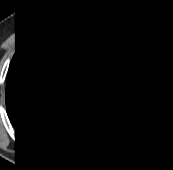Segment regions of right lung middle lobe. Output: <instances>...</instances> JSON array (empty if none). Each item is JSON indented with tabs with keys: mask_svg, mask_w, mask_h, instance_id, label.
Returning a JSON list of instances; mask_svg holds the SVG:
<instances>
[{
	"mask_svg": "<svg viewBox=\"0 0 173 170\" xmlns=\"http://www.w3.org/2000/svg\"><path fill=\"white\" fill-rule=\"evenodd\" d=\"M18 72L32 89V101L49 105V96L56 88V84L60 82V72H53L50 69L41 74H36L25 61L19 63Z\"/></svg>",
	"mask_w": 173,
	"mask_h": 170,
	"instance_id": "right-lung-middle-lobe-1",
	"label": "right lung middle lobe"
}]
</instances>
